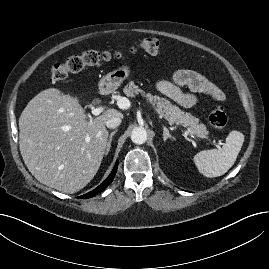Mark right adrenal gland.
<instances>
[{
	"label": "right adrenal gland",
	"mask_w": 269,
	"mask_h": 269,
	"mask_svg": "<svg viewBox=\"0 0 269 269\" xmlns=\"http://www.w3.org/2000/svg\"><path fill=\"white\" fill-rule=\"evenodd\" d=\"M117 132V130H114L113 132L110 133L109 135V140L107 142V147H106V155L109 153L110 149H111V143H112V137L113 135Z\"/></svg>",
	"instance_id": "obj_1"
}]
</instances>
